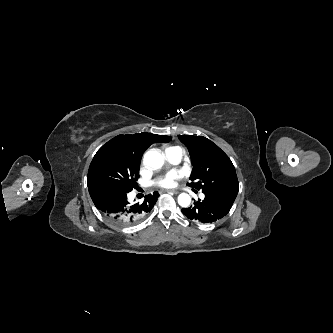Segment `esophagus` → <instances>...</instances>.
<instances>
[{
    "label": "esophagus",
    "mask_w": 333,
    "mask_h": 333,
    "mask_svg": "<svg viewBox=\"0 0 333 333\" xmlns=\"http://www.w3.org/2000/svg\"><path fill=\"white\" fill-rule=\"evenodd\" d=\"M165 192L171 193V194H178L179 192L177 190L171 189V190H166Z\"/></svg>",
    "instance_id": "1"
}]
</instances>
